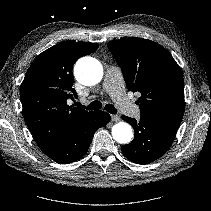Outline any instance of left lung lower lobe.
Segmentation results:
<instances>
[{
  "instance_id": "1",
  "label": "left lung lower lobe",
  "mask_w": 211,
  "mask_h": 211,
  "mask_svg": "<svg viewBox=\"0 0 211 211\" xmlns=\"http://www.w3.org/2000/svg\"><path fill=\"white\" fill-rule=\"evenodd\" d=\"M134 128V139L121 147L126 158L137 164H148L170 148L181 120L174 117L141 116L139 121L122 116Z\"/></svg>"
}]
</instances>
